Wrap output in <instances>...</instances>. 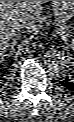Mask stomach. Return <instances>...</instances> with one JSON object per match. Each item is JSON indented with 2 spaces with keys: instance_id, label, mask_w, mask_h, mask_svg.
<instances>
[{
  "instance_id": "obj_1",
  "label": "stomach",
  "mask_w": 74,
  "mask_h": 122,
  "mask_svg": "<svg viewBox=\"0 0 74 122\" xmlns=\"http://www.w3.org/2000/svg\"><path fill=\"white\" fill-rule=\"evenodd\" d=\"M56 15L59 18H71L74 13V1H52Z\"/></svg>"
}]
</instances>
